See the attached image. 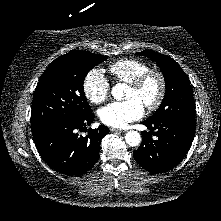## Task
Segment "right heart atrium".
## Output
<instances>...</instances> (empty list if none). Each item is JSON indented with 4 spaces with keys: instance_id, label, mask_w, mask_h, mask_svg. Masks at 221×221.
<instances>
[{
    "instance_id": "1",
    "label": "right heart atrium",
    "mask_w": 221,
    "mask_h": 221,
    "mask_svg": "<svg viewBox=\"0 0 221 221\" xmlns=\"http://www.w3.org/2000/svg\"><path fill=\"white\" fill-rule=\"evenodd\" d=\"M83 91L91 103L100 104L108 98L110 84L101 70L92 69L84 78Z\"/></svg>"
}]
</instances>
